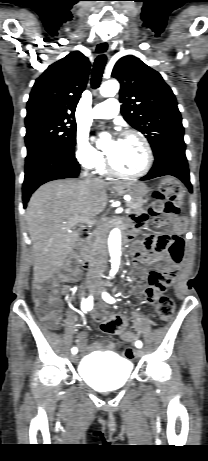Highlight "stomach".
Masks as SVG:
<instances>
[{"instance_id":"0dacf381","label":"stomach","mask_w":208,"mask_h":461,"mask_svg":"<svg viewBox=\"0 0 208 461\" xmlns=\"http://www.w3.org/2000/svg\"><path fill=\"white\" fill-rule=\"evenodd\" d=\"M113 188L119 194H129L133 199L143 198L149 192V188L145 183L137 181L121 182Z\"/></svg>"}]
</instances>
